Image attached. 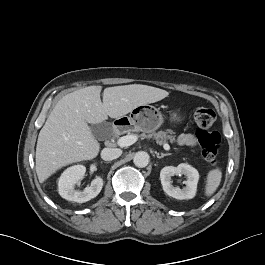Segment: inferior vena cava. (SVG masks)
Returning <instances> with one entry per match:
<instances>
[{
  "label": "inferior vena cava",
  "mask_w": 265,
  "mask_h": 265,
  "mask_svg": "<svg viewBox=\"0 0 265 265\" xmlns=\"http://www.w3.org/2000/svg\"><path fill=\"white\" fill-rule=\"evenodd\" d=\"M122 154V150L118 148H104L101 152V158L105 161H111Z\"/></svg>",
  "instance_id": "obj_1"
}]
</instances>
